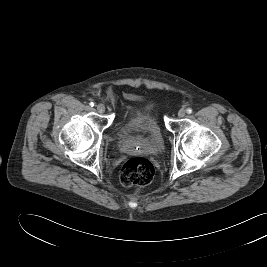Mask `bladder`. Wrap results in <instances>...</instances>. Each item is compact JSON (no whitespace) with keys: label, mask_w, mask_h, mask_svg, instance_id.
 Returning a JSON list of instances; mask_svg holds the SVG:
<instances>
[{"label":"bladder","mask_w":267,"mask_h":267,"mask_svg":"<svg viewBox=\"0 0 267 267\" xmlns=\"http://www.w3.org/2000/svg\"><path fill=\"white\" fill-rule=\"evenodd\" d=\"M117 147L125 154L157 155L164 148V140L160 128L154 122L146 136L134 135L132 124L124 122L118 128Z\"/></svg>","instance_id":"obj_1"}]
</instances>
